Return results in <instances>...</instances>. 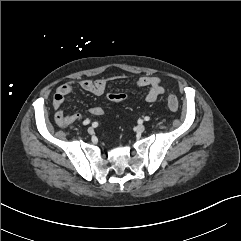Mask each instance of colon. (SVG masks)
Here are the masks:
<instances>
[{
    "instance_id": "colon-1",
    "label": "colon",
    "mask_w": 241,
    "mask_h": 241,
    "mask_svg": "<svg viewBox=\"0 0 241 241\" xmlns=\"http://www.w3.org/2000/svg\"><path fill=\"white\" fill-rule=\"evenodd\" d=\"M105 99L110 101H121L125 99L126 95L123 93H112V94H105ZM167 106L171 111H177L179 107V102L176 96L169 95L167 97Z\"/></svg>"
}]
</instances>
